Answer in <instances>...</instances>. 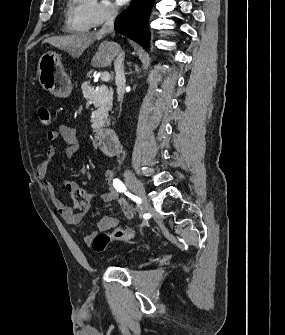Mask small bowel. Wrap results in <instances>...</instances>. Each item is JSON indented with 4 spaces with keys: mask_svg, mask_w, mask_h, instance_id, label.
<instances>
[{
    "mask_svg": "<svg viewBox=\"0 0 285 335\" xmlns=\"http://www.w3.org/2000/svg\"><path fill=\"white\" fill-rule=\"evenodd\" d=\"M46 139L49 142L57 140H63L67 145L66 156L68 158L74 157L81 150L77 135L74 129L66 124L60 125L57 129L50 130L47 132ZM56 155V147L49 145L46 149V159L39 165L37 169V176L43 184L44 189L49 194L54 206L58 210L60 216L70 225L78 226L82 222L84 216L91 210V202L93 197L88 194L85 190L81 189L75 181L67 180L63 183V190L75 198L78 202L79 209H75L68 205L61 199L52 183L48 180L47 174L51 163ZM105 179L108 183V190L96 199L101 203L118 200L123 213V220H130L134 217V210L129 202L124 198L120 197L119 193L113 186V174L111 170H105ZM121 220L113 216H104L98 223V231L104 232L117 227ZM97 233H88L82 236V240L85 244H91L93 237Z\"/></svg>",
    "mask_w": 285,
    "mask_h": 335,
    "instance_id": "c3829d8e",
    "label": "small bowel"
}]
</instances>
